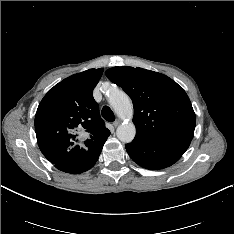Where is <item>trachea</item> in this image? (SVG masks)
Segmentation results:
<instances>
[{
    "label": "trachea",
    "instance_id": "trachea-1",
    "mask_svg": "<svg viewBox=\"0 0 234 234\" xmlns=\"http://www.w3.org/2000/svg\"><path fill=\"white\" fill-rule=\"evenodd\" d=\"M101 114L103 118L109 122H113L115 120V115L113 111L111 110V108L108 106H104L102 108Z\"/></svg>",
    "mask_w": 234,
    "mask_h": 234
}]
</instances>
